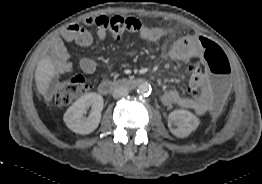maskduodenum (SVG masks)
Returning a JSON list of instances; mask_svg holds the SVG:
<instances>
[{
  "label": "duodenum",
  "mask_w": 262,
  "mask_h": 184,
  "mask_svg": "<svg viewBox=\"0 0 262 184\" xmlns=\"http://www.w3.org/2000/svg\"><path fill=\"white\" fill-rule=\"evenodd\" d=\"M142 83L143 79L141 78H124L117 81L104 80L99 84L98 90L101 94L107 95L116 88H132Z\"/></svg>",
  "instance_id": "1"
}]
</instances>
